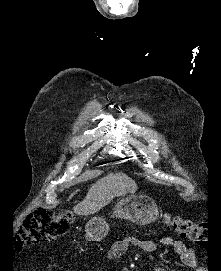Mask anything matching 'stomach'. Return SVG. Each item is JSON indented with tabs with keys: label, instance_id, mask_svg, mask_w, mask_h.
Here are the masks:
<instances>
[{
	"label": "stomach",
	"instance_id": "0dacf381",
	"mask_svg": "<svg viewBox=\"0 0 221 271\" xmlns=\"http://www.w3.org/2000/svg\"><path fill=\"white\" fill-rule=\"evenodd\" d=\"M157 203L154 202V197H122L116 203L113 215L116 217H129L134 223L145 225L150 223L154 215L158 213ZM109 231L108 223H105L101 217H92L85 225V233L87 239L91 241H101Z\"/></svg>",
	"mask_w": 221,
	"mask_h": 271
}]
</instances>
